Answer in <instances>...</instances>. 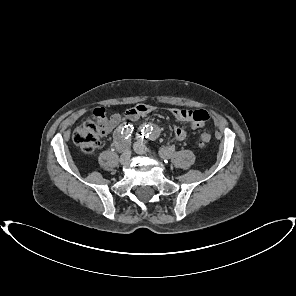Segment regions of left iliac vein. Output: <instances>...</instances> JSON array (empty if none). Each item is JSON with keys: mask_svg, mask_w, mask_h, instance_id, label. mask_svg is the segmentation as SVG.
I'll use <instances>...</instances> for the list:
<instances>
[{"mask_svg": "<svg viewBox=\"0 0 296 296\" xmlns=\"http://www.w3.org/2000/svg\"><path fill=\"white\" fill-rule=\"evenodd\" d=\"M133 148H134L135 152L138 153V154L143 155V154L147 153V149H146L145 145L142 142L134 143Z\"/></svg>", "mask_w": 296, "mask_h": 296, "instance_id": "4c4485c4", "label": "left iliac vein"}]
</instances>
